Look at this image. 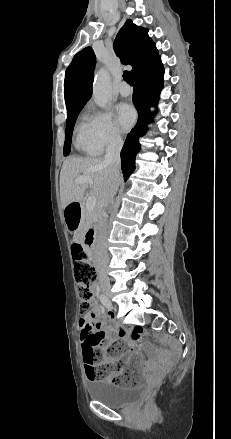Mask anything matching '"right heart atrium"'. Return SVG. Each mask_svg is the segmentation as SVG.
<instances>
[{
    "mask_svg": "<svg viewBox=\"0 0 231 439\" xmlns=\"http://www.w3.org/2000/svg\"><path fill=\"white\" fill-rule=\"evenodd\" d=\"M86 134L98 153L122 144V135L111 114L89 106L85 116Z\"/></svg>",
    "mask_w": 231,
    "mask_h": 439,
    "instance_id": "d8ad5b80",
    "label": "right heart atrium"
}]
</instances>
